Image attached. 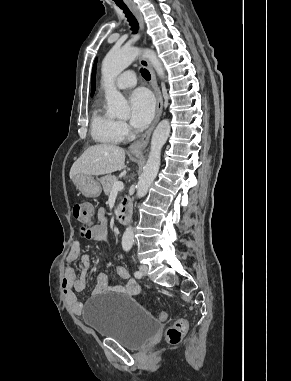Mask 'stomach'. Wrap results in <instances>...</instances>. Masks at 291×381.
<instances>
[{
    "label": "stomach",
    "mask_w": 291,
    "mask_h": 381,
    "mask_svg": "<svg viewBox=\"0 0 291 381\" xmlns=\"http://www.w3.org/2000/svg\"><path fill=\"white\" fill-rule=\"evenodd\" d=\"M73 183L85 197L94 198L101 194V186L92 176L78 174L73 178Z\"/></svg>",
    "instance_id": "stomach-1"
}]
</instances>
